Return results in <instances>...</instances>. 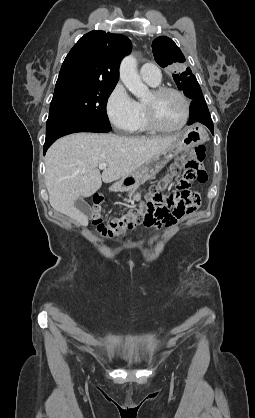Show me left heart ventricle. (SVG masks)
Segmentation results:
<instances>
[{
  "mask_svg": "<svg viewBox=\"0 0 255 418\" xmlns=\"http://www.w3.org/2000/svg\"><path fill=\"white\" fill-rule=\"evenodd\" d=\"M145 103L154 107L158 122L164 127H174L181 123L185 108L181 98L174 93L155 97L151 92Z\"/></svg>",
  "mask_w": 255,
  "mask_h": 418,
  "instance_id": "b2bd125f",
  "label": "left heart ventricle"
}]
</instances>
